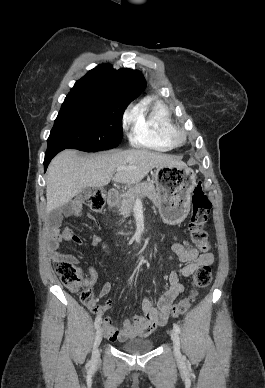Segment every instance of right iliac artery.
I'll return each instance as SVG.
<instances>
[{"label": "right iliac artery", "mask_w": 265, "mask_h": 388, "mask_svg": "<svg viewBox=\"0 0 265 388\" xmlns=\"http://www.w3.org/2000/svg\"><path fill=\"white\" fill-rule=\"evenodd\" d=\"M102 321L101 315H98L95 319V328H98Z\"/></svg>", "instance_id": "1"}]
</instances>
